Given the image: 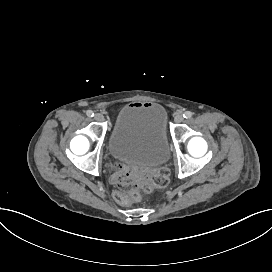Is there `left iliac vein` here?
Listing matches in <instances>:
<instances>
[{
	"label": "left iliac vein",
	"mask_w": 272,
	"mask_h": 272,
	"mask_svg": "<svg viewBox=\"0 0 272 272\" xmlns=\"http://www.w3.org/2000/svg\"><path fill=\"white\" fill-rule=\"evenodd\" d=\"M183 121V115L179 112L175 114V122L180 123Z\"/></svg>",
	"instance_id": "4c4485c4"
}]
</instances>
